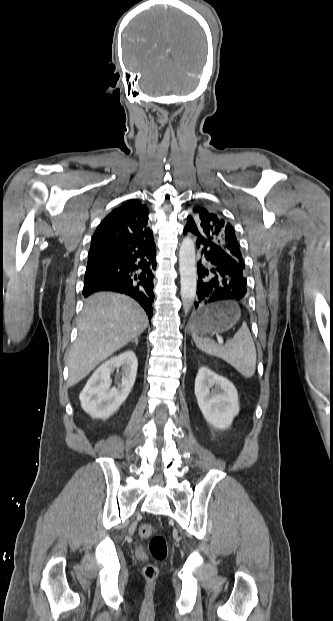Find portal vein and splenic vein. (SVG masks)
<instances>
[{"label":"portal vein and splenic vein","mask_w":333,"mask_h":621,"mask_svg":"<svg viewBox=\"0 0 333 621\" xmlns=\"http://www.w3.org/2000/svg\"><path fill=\"white\" fill-rule=\"evenodd\" d=\"M218 342H219L220 344H223V343H224V341H223V339H222V338H218Z\"/></svg>","instance_id":"1"}]
</instances>
